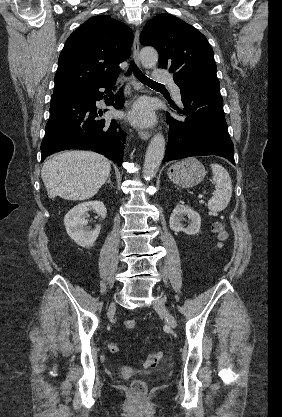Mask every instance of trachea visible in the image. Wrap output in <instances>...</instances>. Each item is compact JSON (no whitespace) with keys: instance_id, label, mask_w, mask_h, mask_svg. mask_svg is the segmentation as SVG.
I'll return each mask as SVG.
<instances>
[{"instance_id":"1","label":"trachea","mask_w":282,"mask_h":417,"mask_svg":"<svg viewBox=\"0 0 282 417\" xmlns=\"http://www.w3.org/2000/svg\"><path fill=\"white\" fill-rule=\"evenodd\" d=\"M131 72L134 73L135 77L140 80V82L144 83L145 85H162V83L154 82V80H151L150 78L146 77L144 73L139 70L138 66L131 62L128 71L126 72V75H130Z\"/></svg>"}]
</instances>
